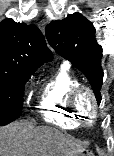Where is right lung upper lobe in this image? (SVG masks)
Wrapping results in <instances>:
<instances>
[{
    "instance_id": "cb5924a9",
    "label": "right lung upper lobe",
    "mask_w": 114,
    "mask_h": 156,
    "mask_svg": "<svg viewBox=\"0 0 114 156\" xmlns=\"http://www.w3.org/2000/svg\"><path fill=\"white\" fill-rule=\"evenodd\" d=\"M52 58L35 25L16 23L10 18L0 23V71L34 73Z\"/></svg>"
}]
</instances>
